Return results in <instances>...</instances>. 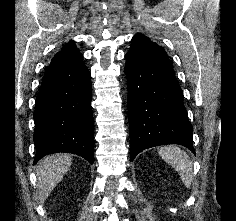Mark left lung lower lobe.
<instances>
[{
	"label": "left lung lower lobe",
	"instance_id": "0a47b994",
	"mask_svg": "<svg viewBox=\"0 0 236 221\" xmlns=\"http://www.w3.org/2000/svg\"><path fill=\"white\" fill-rule=\"evenodd\" d=\"M131 161L147 148L179 144L195 153L192 125L167 53L136 34L126 54Z\"/></svg>",
	"mask_w": 236,
	"mask_h": 221
}]
</instances>
